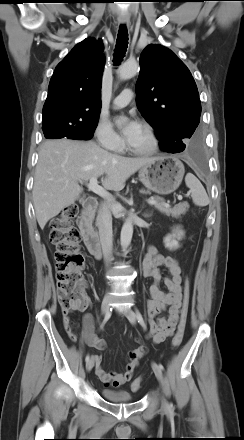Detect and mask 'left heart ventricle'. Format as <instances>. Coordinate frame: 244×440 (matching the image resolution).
Returning a JSON list of instances; mask_svg holds the SVG:
<instances>
[{
  "label": "left heart ventricle",
  "mask_w": 244,
  "mask_h": 440,
  "mask_svg": "<svg viewBox=\"0 0 244 440\" xmlns=\"http://www.w3.org/2000/svg\"><path fill=\"white\" fill-rule=\"evenodd\" d=\"M129 144L134 148L144 149L149 146L150 140L145 131L140 127L138 134L131 142H129Z\"/></svg>",
  "instance_id": "left-heart-ventricle-1"
}]
</instances>
